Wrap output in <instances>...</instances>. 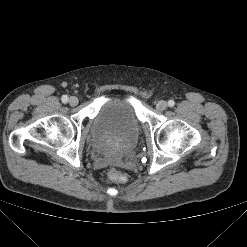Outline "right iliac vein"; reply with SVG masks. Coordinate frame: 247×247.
Segmentation results:
<instances>
[{
    "instance_id": "1",
    "label": "right iliac vein",
    "mask_w": 247,
    "mask_h": 247,
    "mask_svg": "<svg viewBox=\"0 0 247 247\" xmlns=\"http://www.w3.org/2000/svg\"><path fill=\"white\" fill-rule=\"evenodd\" d=\"M78 102H79V100L75 96H72V97L69 98V104L71 106H76L78 104Z\"/></svg>"
}]
</instances>
